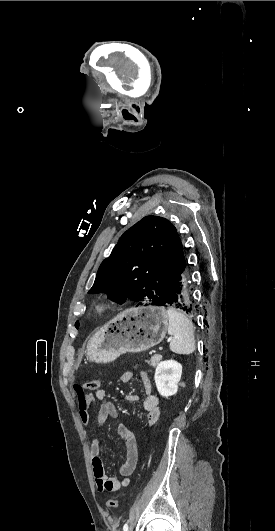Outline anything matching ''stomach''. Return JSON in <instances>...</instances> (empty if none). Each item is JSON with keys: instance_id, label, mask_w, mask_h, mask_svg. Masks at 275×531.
I'll list each match as a JSON object with an SVG mask.
<instances>
[{"instance_id": "1", "label": "stomach", "mask_w": 275, "mask_h": 531, "mask_svg": "<svg viewBox=\"0 0 275 531\" xmlns=\"http://www.w3.org/2000/svg\"><path fill=\"white\" fill-rule=\"evenodd\" d=\"M164 307H132L119 313L99 329L87 343L86 355L92 363H112L122 353H142L163 341L168 329Z\"/></svg>"}]
</instances>
